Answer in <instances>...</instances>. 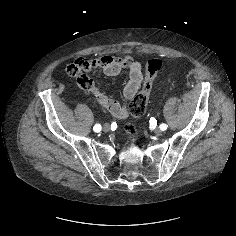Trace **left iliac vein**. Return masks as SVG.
<instances>
[{"instance_id": "4c4485c4", "label": "left iliac vein", "mask_w": 236, "mask_h": 236, "mask_svg": "<svg viewBox=\"0 0 236 236\" xmlns=\"http://www.w3.org/2000/svg\"><path fill=\"white\" fill-rule=\"evenodd\" d=\"M154 133L157 134V135H160L162 133V130L157 127V128L154 129Z\"/></svg>"}]
</instances>
